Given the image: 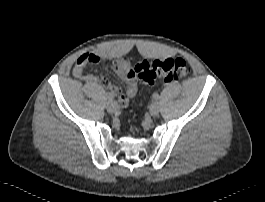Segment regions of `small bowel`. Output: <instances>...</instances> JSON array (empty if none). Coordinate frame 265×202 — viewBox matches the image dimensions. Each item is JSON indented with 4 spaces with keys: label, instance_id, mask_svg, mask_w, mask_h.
Here are the masks:
<instances>
[{
    "label": "small bowel",
    "instance_id": "1",
    "mask_svg": "<svg viewBox=\"0 0 265 202\" xmlns=\"http://www.w3.org/2000/svg\"><path fill=\"white\" fill-rule=\"evenodd\" d=\"M107 63L106 56L102 52L89 51L79 56L74 67V75L87 81L91 85H101L108 90L111 97L118 99L120 105L125 106L135 96L138 87L135 77L132 76V65L128 59L116 58L111 61V69L126 83L123 91L119 87L108 82L104 77L95 74L85 73L87 66L104 65Z\"/></svg>",
    "mask_w": 265,
    "mask_h": 202
}]
</instances>
